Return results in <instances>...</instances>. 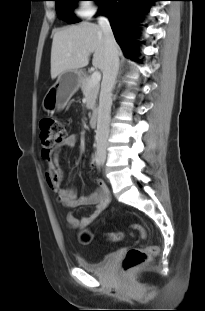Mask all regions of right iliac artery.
<instances>
[{
    "mask_svg": "<svg viewBox=\"0 0 205 311\" xmlns=\"http://www.w3.org/2000/svg\"><path fill=\"white\" fill-rule=\"evenodd\" d=\"M95 163H96L97 167L100 168L101 164H100L98 152L95 154Z\"/></svg>",
    "mask_w": 205,
    "mask_h": 311,
    "instance_id": "82829eb1",
    "label": "right iliac artery"
}]
</instances>
